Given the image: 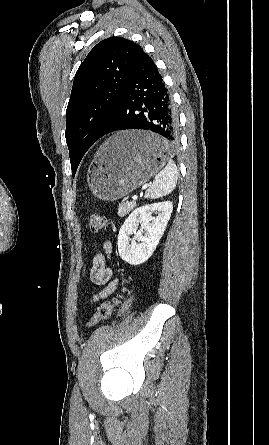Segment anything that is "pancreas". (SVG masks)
Returning a JSON list of instances; mask_svg holds the SVG:
<instances>
[{"instance_id":"pancreas-1","label":"pancreas","mask_w":269,"mask_h":445,"mask_svg":"<svg viewBox=\"0 0 269 445\" xmlns=\"http://www.w3.org/2000/svg\"><path fill=\"white\" fill-rule=\"evenodd\" d=\"M136 206L135 202H124L121 203L118 209V215L124 217Z\"/></svg>"}]
</instances>
